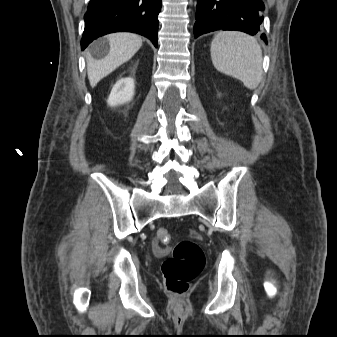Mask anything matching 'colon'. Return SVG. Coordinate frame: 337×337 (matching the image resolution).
Wrapping results in <instances>:
<instances>
[{"mask_svg":"<svg viewBox=\"0 0 337 337\" xmlns=\"http://www.w3.org/2000/svg\"><path fill=\"white\" fill-rule=\"evenodd\" d=\"M171 242L167 229H159L154 243L157 252H164ZM205 265V255L201 247L191 239L176 243L172 254L162 264V274L167 291L181 295L187 292L190 283L197 278Z\"/></svg>","mask_w":337,"mask_h":337,"instance_id":"1","label":"colon"}]
</instances>
